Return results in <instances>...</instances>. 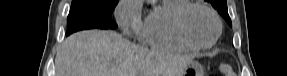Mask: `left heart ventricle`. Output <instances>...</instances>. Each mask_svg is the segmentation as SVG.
I'll return each instance as SVG.
<instances>
[{
    "label": "left heart ventricle",
    "instance_id": "b2bd125f",
    "mask_svg": "<svg viewBox=\"0 0 287 76\" xmlns=\"http://www.w3.org/2000/svg\"><path fill=\"white\" fill-rule=\"evenodd\" d=\"M185 27L190 38L201 44L210 42L217 31L212 16L203 9L195 8L185 19Z\"/></svg>",
    "mask_w": 287,
    "mask_h": 76
}]
</instances>
